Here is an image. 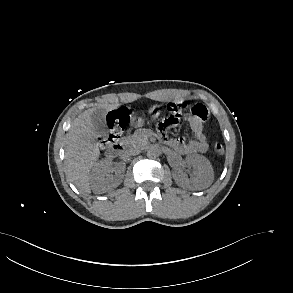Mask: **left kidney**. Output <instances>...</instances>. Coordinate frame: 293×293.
I'll return each mask as SVG.
<instances>
[{
    "instance_id": "1",
    "label": "left kidney",
    "mask_w": 293,
    "mask_h": 293,
    "mask_svg": "<svg viewBox=\"0 0 293 293\" xmlns=\"http://www.w3.org/2000/svg\"><path fill=\"white\" fill-rule=\"evenodd\" d=\"M186 163L195 169L194 178L190 180L182 171H174L173 178L178 186H189L195 190H201L211 185L214 172L208 159L203 156L188 157Z\"/></svg>"
}]
</instances>
